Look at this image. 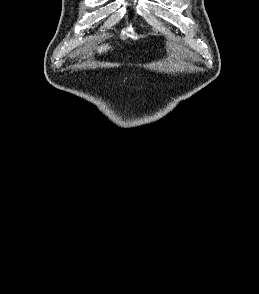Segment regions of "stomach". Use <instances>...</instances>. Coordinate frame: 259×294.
Instances as JSON below:
<instances>
[{
	"label": "stomach",
	"instance_id": "obj_1",
	"mask_svg": "<svg viewBox=\"0 0 259 294\" xmlns=\"http://www.w3.org/2000/svg\"><path fill=\"white\" fill-rule=\"evenodd\" d=\"M110 49H112V47L108 43H102L95 47V51L99 54L106 53Z\"/></svg>",
	"mask_w": 259,
	"mask_h": 294
}]
</instances>
